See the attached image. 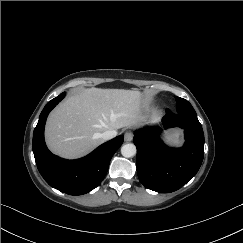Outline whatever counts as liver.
I'll use <instances>...</instances> for the list:
<instances>
[{
    "mask_svg": "<svg viewBox=\"0 0 243 243\" xmlns=\"http://www.w3.org/2000/svg\"><path fill=\"white\" fill-rule=\"evenodd\" d=\"M146 99L138 90L86 88L66 98L48 116L45 140L61 157H82L104 140L101 133L146 121Z\"/></svg>",
    "mask_w": 243,
    "mask_h": 243,
    "instance_id": "1",
    "label": "liver"
}]
</instances>
